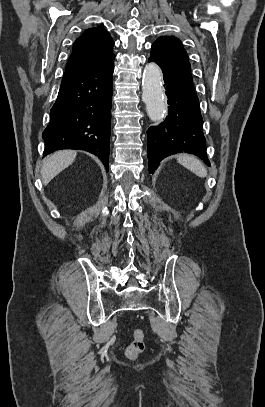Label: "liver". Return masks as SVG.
<instances>
[{"label": "liver", "mask_w": 265, "mask_h": 407, "mask_svg": "<svg viewBox=\"0 0 265 407\" xmlns=\"http://www.w3.org/2000/svg\"><path fill=\"white\" fill-rule=\"evenodd\" d=\"M76 151L61 150L48 156L41 169L42 182L47 185L61 171L71 165L76 158Z\"/></svg>", "instance_id": "1"}]
</instances>
